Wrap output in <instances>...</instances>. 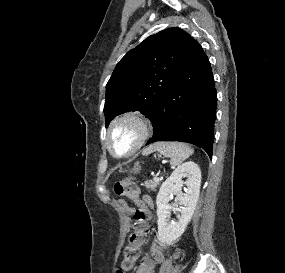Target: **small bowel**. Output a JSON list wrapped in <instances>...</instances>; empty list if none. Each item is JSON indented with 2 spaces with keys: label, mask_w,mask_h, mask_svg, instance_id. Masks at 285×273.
Masks as SVG:
<instances>
[{
  "label": "small bowel",
  "mask_w": 285,
  "mask_h": 273,
  "mask_svg": "<svg viewBox=\"0 0 285 273\" xmlns=\"http://www.w3.org/2000/svg\"><path fill=\"white\" fill-rule=\"evenodd\" d=\"M143 201H146L149 205L150 211L154 206V200L149 195H144L142 198ZM150 256H144L138 267L136 268L135 273H154L155 265L157 263H161L164 260V251L163 247L157 243L153 242L151 243L149 247Z\"/></svg>",
  "instance_id": "obj_1"
}]
</instances>
